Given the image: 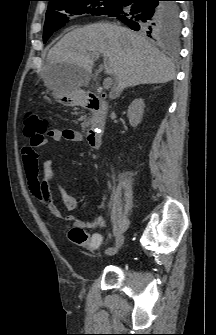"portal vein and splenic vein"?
I'll return each instance as SVG.
<instances>
[{
  "label": "portal vein and splenic vein",
  "instance_id": "1",
  "mask_svg": "<svg viewBox=\"0 0 216 335\" xmlns=\"http://www.w3.org/2000/svg\"><path fill=\"white\" fill-rule=\"evenodd\" d=\"M112 84H113V79L111 77H107L103 82V87L105 90H107L111 88Z\"/></svg>",
  "mask_w": 216,
  "mask_h": 335
}]
</instances>
